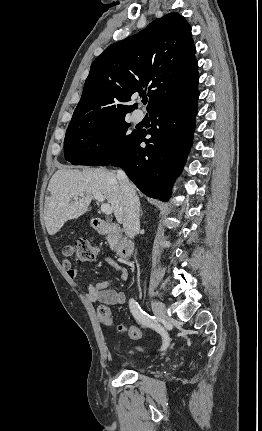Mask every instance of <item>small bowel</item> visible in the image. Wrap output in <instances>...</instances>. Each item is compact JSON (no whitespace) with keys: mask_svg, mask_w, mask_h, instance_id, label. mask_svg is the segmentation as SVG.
I'll list each match as a JSON object with an SVG mask.
<instances>
[{"mask_svg":"<svg viewBox=\"0 0 262 431\" xmlns=\"http://www.w3.org/2000/svg\"><path fill=\"white\" fill-rule=\"evenodd\" d=\"M107 262L119 272L122 281L128 280L129 274L126 268L120 266L116 260L111 258L107 259ZM63 267L67 276L72 280L77 279L82 274V270L73 267L69 260L63 261ZM109 284L110 282L107 280L89 283L87 286L86 298L89 302L99 305V313L106 310L109 316L112 317L109 307L124 304L126 296L121 290L110 289ZM167 340L170 341L168 334Z\"/></svg>","mask_w":262,"mask_h":431,"instance_id":"1","label":"small bowel"}]
</instances>
